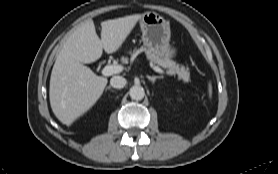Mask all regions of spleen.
Listing matches in <instances>:
<instances>
[{"mask_svg":"<svg viewBox=\"0 0 278 174\" xmlns=\"http://www.w3.org/2000/svg\"><path fill=\"white\" fill-rule=\"evenodd\" d=\"M208 92H209V96L211 97V95H212V86H211V83L208 84Z\"/></svg>","mask_w":278,"mask_h":174,"instance_id":"obj_1","label":"spleen"}]
</instances>
